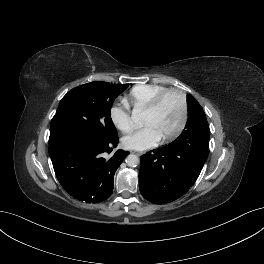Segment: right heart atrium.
Listing matches in <instances>:
<instances>
[{
    "label": "right heart atrium",
    "mask_w": 264,
    "mask_h": 264,
    "mask_svg": "<svg viewBox=\"0 0 264 264\" xmlns=\"http://www.w3.org/2000/svg\"><path fill=\"white\" fill-rule=\"evenodd\" d=\"M110 119L121 132L126 133L132 128L131 112L127 106L115 104L110 108Z\"/></svg>",
    "instance_id": "d8ad5b80"
}]
</instances>
